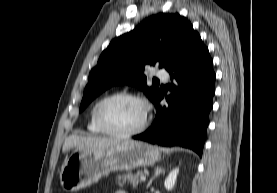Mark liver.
Segmentation results:
<instances>
[{"mask_svg":"<svg viewBox=\"0 0 277 193\" xmlns=\"http://www.w3.org/2000/svg\"><path fill=\"white\" fill-rule=\"evenodd\" d=\"M119 142H121V140L117 138L71 135L66 138L63 144L62 152L65 153L74 147L86 149H105L114 146Z\"/></svg>","mask_w":277,"mask_h":193,"instance_id":"liver-1","label":"liver"}]
</instances>
